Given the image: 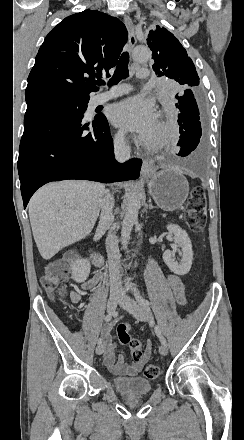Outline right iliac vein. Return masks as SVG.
I'll use <instances>...</instances> for the list:
<instances>
[{"mask_svg":"<svg viewBox=\"0 0 244 440\" xmlns=\"http://www.w3.org/2000/svg\"><path fill=\"white\" fill-rule=\"evenodd\" d=\"M120 303V300L116 294L110 295L107 300V310L108 313L113 314L116 310L117 305ZM106 342L99 344L96 347V354L101 355L105 350Z\"/></svg>","mask_w":244,"mask_h":440,"instance_id":"1","label":"right iliac vein"}]
</instances>
